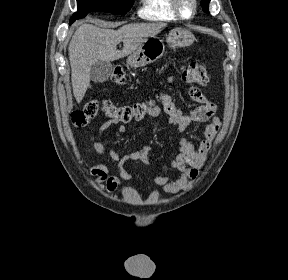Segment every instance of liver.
Returning <instances> with one entry per match:
<instances>
[{"instance_id": "6515ba94", "label": "liver", "mask_w": 288, "mask_h": 280, "mask_svg": "<svg viewBox=\"0 0 288 280\" xmlns=\"http://www.w3.org/2000/svg\"><path fill=\"white\" fill-rule=\"evenodd\" d=\"M166 27L165 23H131L118 30L82 24L68 47L73 94L80 103L90 85L91 67L98 61H115L134 53L147 39ZM123 42V49L117 45Z\"/></svg>"}]
</instances>
